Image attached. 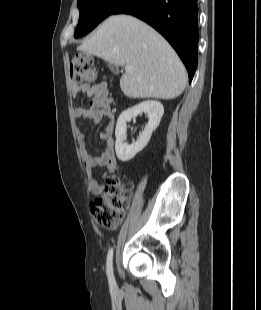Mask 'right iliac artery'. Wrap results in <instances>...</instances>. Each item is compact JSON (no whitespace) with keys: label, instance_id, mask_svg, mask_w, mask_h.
I'll return each mask as SVG.
<instances>
[{"label":"right iliac artery","instance_id":"obj_1","mask_svg":"<svg viewBox=\"0 0 261 310\" xmlns=\"http://www.w3.org/2000/svg\"><path fill=\"white\" fill-rule=\"evenodd\" d=\"M106 273L108 276L109 284L111 287H113L115 285V278L113 274V248L109 250L107 255Z\"/></svg>","mask_w":261,"mask_h":310}]
</instances>
